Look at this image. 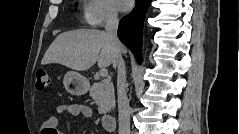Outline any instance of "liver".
<instances>
[{
	"instance_id": "obj_1",
	"label": "liver",
	"mask_w": 239,
	"mask_h": 134,
	"mask_svg": "<svg viewBox=\"0 0 239 134\" xmlns=\"http://www.w3.org/2000/svg\"><path fill=\"white\" fill-rule=\"evenodd\" d=\"M119 53H126L120 45ZM116 61V49L106 32L79 29L59 34L47 49L41 63H57L77 71H85L96 62L105 68Z\"/></svg>"
}]
</instances>
